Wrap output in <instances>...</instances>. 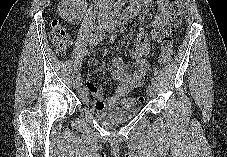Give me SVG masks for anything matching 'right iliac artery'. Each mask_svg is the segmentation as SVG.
Segmentation results:
<instances>
[{
    "label": "right iliac artery",
    "instance_id": "right-iliac-artery-1",
    "mask_svg": "<svg viewBox=\"0 0 227 157\" xmlns=\"http://www.w3.org/2000/svg\"><path fill=\"white\" fill-rule=\"evenodd\" d=\"M98 30L99 28H96L95 31H97V33H95L93 36H94V40L96 39V41H103V36L101 34L98 33ZM75 73L78 74L77 77L81 78V75L79 74L80 73V70L79 69H76L75 70Z\"/></svg>",
    "mask_w": 227,
    "mask_h": 157
}]
</instances>
